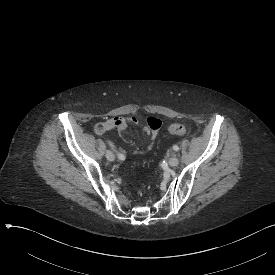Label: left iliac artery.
Segmentation results:
<instances>
[{
	"label": "left iliac artery",
	"mask_w": 275,
	"mask_h": 275,
	"mask_svg": "<svg viewBox=\"0 0 275 275\" xmlns=\"http://www.w3.org/2000/svg\"><path fill=\"white\" fill-rule=\"evenodd\" d=\"M173 149H174L175 151H178V150H179V147H178L177 145H174V146H173Z\"/></svg>",
	"instance_id": "1"
}]
</instances>
